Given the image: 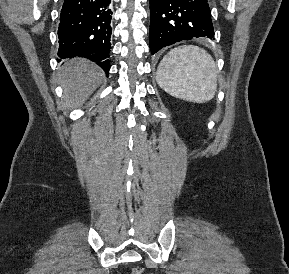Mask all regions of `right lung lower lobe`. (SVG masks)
<instances>
[{
	"label": "right lung lower lobe",
	"instance_id": "obj_1",
	"mask_svg": "<svg viewBox=\"0 0 289 274\" xmlns=\"http://www.w3.org/2000/svg\"><path fill=\"white\" fill-rule=\"evenodd\" d=\"M111 0H64L58 28L61 59L74 56L96 62L106 74L112 33Z\"/></svg>",
	"mask_w": 289,
	"mask_h": 274
}]
</instances>
